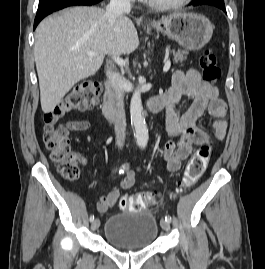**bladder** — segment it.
I'll use <instances>...</instances> for the list:
<instances>
[{"instance_id":"obj_1","label":"bladder","mask_w":265,"mask_h":269,"mask_svg":"<svg viewBox=\"0 0 265 269\" xmlns=\"http://www.w3.org/2000/svg\"><path fill=\"white\" fill-rule=\"evenodd\" d=\"M157 235V220L150 210L115 213L107 219L104 226L107 242L121 249L150 247Z\"/></svg>"}]
</instances>
